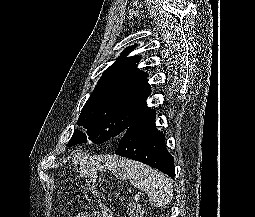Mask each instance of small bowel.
Returning <instances> with one entry per match:
<instances>
[{
	"label": "small bowel",
	"mask_w": 255,
	"mask_h": 217,
	"mask_svg": "<svg viewBox=\"0 0 255 217\" xmlns=\"http://www.w3.org/2000/svg\"><path fill=\"white\" fill-rule=\"evenodd\" d=\"M104 214L105 217H111L108 210L104 208ZM75 217H91L90 213L86 212V211H81L79 213H77V215Z\"/></svg>",
	"instance_id": "small-bowel-1"
}]
</instances>
